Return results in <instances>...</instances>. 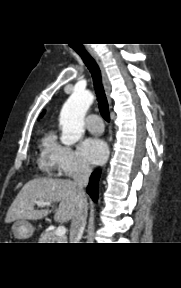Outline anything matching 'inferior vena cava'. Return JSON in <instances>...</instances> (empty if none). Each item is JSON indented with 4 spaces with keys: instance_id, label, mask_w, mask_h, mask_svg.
Wrapping results in <instances>:
<instances>
[{
    "instance_id": "602c4592",
    "label": "inferior vena cava",
    "mask_w": 181,
    "mask_h": 288,
    "mask_svg": "<svg viewBox=\"0 0 181 288\" xmlns=\"http://www.w3.org/2000/svg\"><path fill=\"white\" fill-rule=\"evenodd\" d=\"M91 172L92 168L89 165L80 163L73 176L74 185L78 193V209L71 221L70 243H79L86 226L88 204L84 188L88 185Z\"/></svg>"
}]
</instances>
